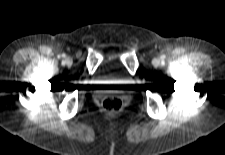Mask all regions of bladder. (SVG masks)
I'll use <instances>...</instances> for the list:
<instances>
[{
	"label": "bladder",
	"mask_w": 225,
	"mask_h": 155,
	"mask_svg": "<svg viewBox=\"0 0 225 155\" xmlns=\"http://www.w3.org/2000/svg\"><path fill=\"white\" fill-rule=\"evenodd\" d=\"M96 78L105 82L123 83L126 79L120 69L113 65H102L96 74Z\"/></svg>",
	"instance_id": "bladder-1"
}]
</instances>
